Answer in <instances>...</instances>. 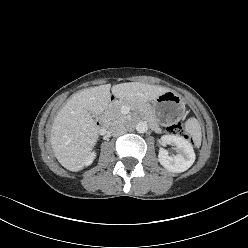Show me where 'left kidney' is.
Returning a JSON list of instances; mask_svg holds the SVG:
<instances>
[{"label":"left kidney","mask_w":248,"mask_h":248,"mask_svg":"<svg viewBox=\"0 0 248 248\" xmlns=\"http://www.w3.org/2000/svg\"><path fill=\"white\" fill-rule=\"evenodd\" d=\"M161 144L176 146L177 154L170 156L168 151L160 148L158 160L160 164L172 172H184L189 169L195 161V152L192 145L185 138L176 135H163Z\"/></svg>","instance_id":"obj_1"}]
</instances>
